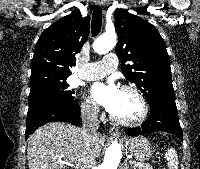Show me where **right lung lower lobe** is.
<instances>
[{"instance_id":"98d812e1","label":"right lung lower lobe","mask_w":200,"mask_h":169,"mask_svg":"<svg viewBox=\"0 0 200 169\" xmlns=\"http://www.w3.org/2000/svg\"><path fill=\"white\" fill-rule=\"evenodd\" d=\"M80 106L78 102L70 107L60 105H40L28 109L26 119L25 139L29 137L38 127L45 123L63 121L74 125L82 123L80 117Z\"/></svg>"}]
</instances>
